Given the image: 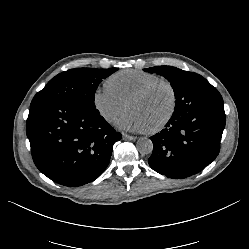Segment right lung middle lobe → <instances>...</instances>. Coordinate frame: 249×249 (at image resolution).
I'll use <instances>...</instances> for the list:
<instances>
[{
	"label": "right lung middle lobe",
	"mask_w": 249,
	"mask_h": 249,
	"mask_svg": "<svg viewBox=\"0 0 249 249\" xmlns=\"http://www.w3.org/2000/svg\"><path fill=\"white\" fill-rule=\"evenodd\" d=\"M118 68H76L56 75L38 92L30 107L51 102H71L95 109L94 95L103 79Z\"/></svg>",
	"instance_id": "1"
}]
</instances>
